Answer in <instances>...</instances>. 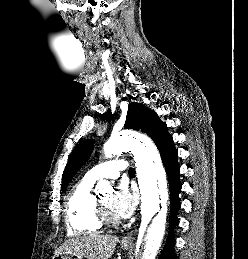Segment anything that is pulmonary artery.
Here are the masks:
<instances>
[{
  "mask_svg": "<svg viewBox=\"0 0 248 259\" xmlns=\"http://www.w3.org/2000/svg\"><path fill=\"white\" fill-rule=\"evenodd\" d=\"M128 170V164L123 159H117L98 164L85 175L86 178L96 181L101 178H118L120 173Z\"/></svg>",
  "mask_w": 248,
  "mask_h": 259,
  "instance_id": "pulmonary-artery-1",
  "label": "pulmonary artery"
}]
</instances>
